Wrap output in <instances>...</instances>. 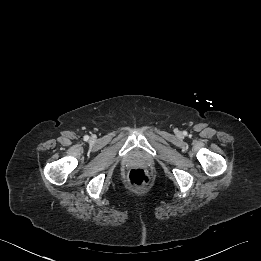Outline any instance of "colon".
I'll return each mask as SVG.
<instances>
[{"label":"colon","mask_w":261,"mask_h":261,"mask_svg":"<svg viewBox=\"0 0 261 261\" xmlns=\"http://www.w3.org/2000/svg\"><path fill=\"white\" fill-rule=\"evenodd\" d=\"M127 180L130 186L134 188H143L150 183V176L146 170L136 168L129 171Z\"/></svg>","instance_id":"1"}]
</instances>
